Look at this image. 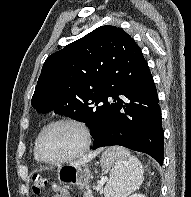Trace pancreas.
<instances>
[{
  "instance_id": "1",
  "label": "pancreas",
  "mask_w": 191,
  "mask_h": 197,
  "mask_svg": "<svg viewBox=\"0 0 191 197\" xmlns=\"http://www.w3.org/2000/svg\"><path fill=\"white\" fill-rule=\"evenodd\" d=\"M83 197H93L89 191H85Z\"/></svg>"
}]
</instances>
